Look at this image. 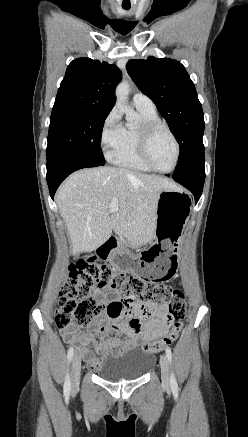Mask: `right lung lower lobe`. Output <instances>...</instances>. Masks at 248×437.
Listing matches in <instances>:
<instances>
[{"mask_svg": "<svg viewBox=\"0 0 248 437\" xmlns=\"http://www.w3.org/2000/svg\"><path fill=\"white\" fill-rule=\"evenodd\" d=\"M103 165L104 161L76 152H62L47 158V182L51 198L54 199L58 186L72 172Z\"/></svg>", "mask_w": 248, "mask_h": 437, "instance_id": "98d812e1", "label": "right lung lower lobe"}]
</instances>
